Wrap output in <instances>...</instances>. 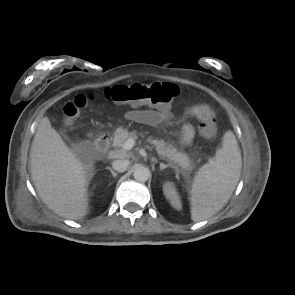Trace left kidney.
Returning a JSON list of instances; mask_svg holds the SVG:
<instances>
[{
	"label": "left kidney",
	"instance_id": "1",
	"mask_svg": "<svg viewBox=\"0 0 295 295\" xmlns=\"http://www.w3.org/2000/svg\"><path fill=\"white\" fill-rule=\"evenodd\" d=\"M163 192L166 196V198L170 201L172 206L176 208L177 210H180L182 205L180 201V197L177 193V190L172 182H166L163 185Z\"/></svg>",
	"mask_w": 295,
	"mask_h": 295
}]
</instances>
